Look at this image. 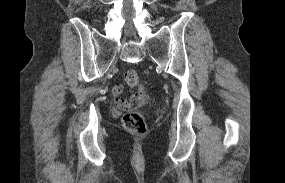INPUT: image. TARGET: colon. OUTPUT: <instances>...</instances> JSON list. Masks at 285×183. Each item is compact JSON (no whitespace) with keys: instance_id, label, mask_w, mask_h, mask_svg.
<instances>
[{"instance_id":"1","label":"colon","mask_w":285,"mask_h":183,"mask_svg":"<svg viewBox=\"0 0 285 183\" xmlns=\"http://www.w3.org/2000/svg\"><path fill=\"white\" fill-rule=\"evenodd\" d=\"M124 80L130 87H139L138 91L130 99L127 111L123 114L122 123L126 130L134 134H144L147 130L143 115L133 108L142 103H148L149 97L146 90L139 85V77L135 70H127Z\"/></svg>"}]
</instances>
